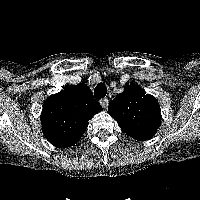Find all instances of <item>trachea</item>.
<instances>
[{"mask_svg": "<svg viewBox=\"0 0 200 200\" xmlns=\"http://www.w3.org/2000/svg\"><path fill=\"white\" fill-rule=\"evenodd\" d=\"M107 94V87L103 83H99L94 90V96L96 99L104 98Z\"/></svg>", "mask_w": 200, "mask_h": 200, "instance_id": "3493384b", "label": "trachea"}]
</instances>
